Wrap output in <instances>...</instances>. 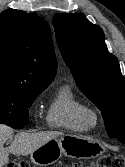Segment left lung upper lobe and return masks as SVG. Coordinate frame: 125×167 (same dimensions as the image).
<instances>
[{"label": "left lung upper lobe", "instance_id": "1", "mask_svg": "<svg viewBox=\"0 0 125 167\" xmlns=\"http://www.w3.org/2000/svg\"><path fill=\"white\" fill-rule=\"evenodd\" d=\"M53 26L62 57L79 88L101 110L108 136L125 143V78L102 29L81 13L56 14Z\"/></svg>", "mask_w": 125, "mask_h": 167}]
</instances>
